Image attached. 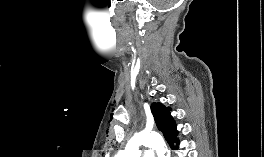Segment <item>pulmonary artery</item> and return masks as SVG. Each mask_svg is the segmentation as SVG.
I'll list each match as a JSON object with an SVG mask.
<instances>
[{
  "instance_id": "obj_1",
  "label": "pulmonary artery",
  "mask_w": 264,
  "mask_h": 157,
  "mask_svg": "<svg viewBox=\"0 0 264 157\" xmlns=\"http://www.w3.org/2000/svg\"><path fill=\"white\" fill-rule=\"evenodd\" d=\"M143 157H154V153L152 150H145L143 152Z\"/></svg>"
}]
</instances>
